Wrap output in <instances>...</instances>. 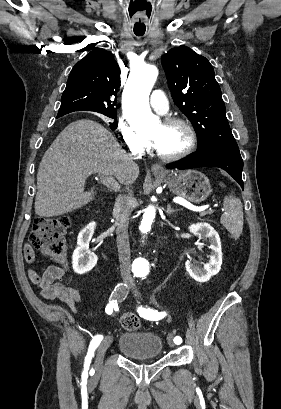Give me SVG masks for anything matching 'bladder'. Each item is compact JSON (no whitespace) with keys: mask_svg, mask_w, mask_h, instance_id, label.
I'll return each mask as SVG.
<instances>
[{"mask_svg":"<svg viewBox=\"0 0 281 409\" xmlns=\"http://www.w3.org/2000/svg\"><path fill=\"white\" fill-rule=\"evenodd\" d=\"M118 351L134 362L161 359L164 341L156 332L122 329L116 340Z\"/></svg>","mask_w":281,"mask_h":409,"instance_id":"1","label":"bladder"}]
</instances>
